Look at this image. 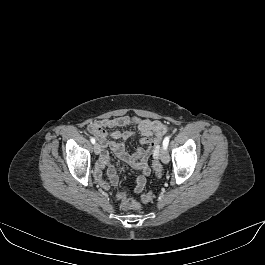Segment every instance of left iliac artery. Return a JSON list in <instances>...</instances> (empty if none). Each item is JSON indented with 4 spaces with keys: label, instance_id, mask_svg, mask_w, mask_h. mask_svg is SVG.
<instances>
[{
    "label": "left iliac artery",
    "instance_id": "1",
    "mask_svg": "<svg viewBox=\"0 0 265 265\" xmlns=\"http://www.w3.org/2000/svg\"><path fill=\"white\" fill-rule=\"evenodd\" d=\"M170 136H166L163 140V148L167 149L169 144Z\"/></svg>",
    "mask_w": 265,
    "mask_h": 265
}]
</instances>
